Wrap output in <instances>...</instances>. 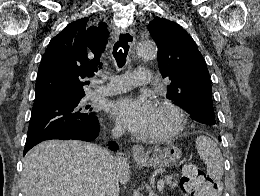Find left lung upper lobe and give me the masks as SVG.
Masks as SVG:
<instances>
[{
    "label": "left lung upper lobe",
    "mask_w": 260,
    "mask_h": 196,
    "mask_svg": "<svg viewBox=\"0 0 260 196\" xmlns=\"http://www.w3.org/2000/svg\"><path fill=\"white\" fill-rule=\"evenodd\" d=\"M148 30L158 46V66L166 77L167 98L191 114L197 106L213 107L205 60L192 37L177 23L156 17ZM217 129L216 120L206 124Z\"/></svg>",
    "instance_id": "obj_1"
}]
</instances>
